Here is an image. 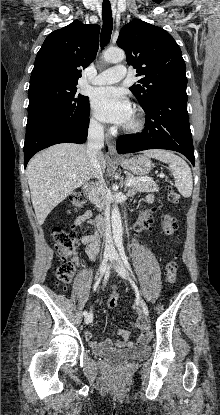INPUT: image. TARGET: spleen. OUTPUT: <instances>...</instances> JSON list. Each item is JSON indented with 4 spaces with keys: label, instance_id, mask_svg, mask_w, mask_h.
<instances>
[{
    "label": "spleen",
    "instance_id": "1",
    "mask_svg": "<svg viewBox=\"0 0 220 415\" xmlns=\"http://www.w3.org/2000/svg\"><path fill=\"white\" fill-rule=\"evenodd\" d=\"M144 155L168 163L169 170L175 179V186L180 194L183 197L191 196L193 188L192 173L188 164L182 158L172 152L161 149L146 151Z\"/></svg>",
    "mask_w": 220,
    "mask_h": 415
}]
</instances>
